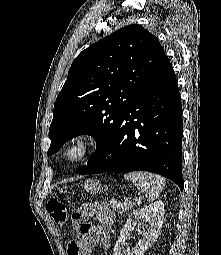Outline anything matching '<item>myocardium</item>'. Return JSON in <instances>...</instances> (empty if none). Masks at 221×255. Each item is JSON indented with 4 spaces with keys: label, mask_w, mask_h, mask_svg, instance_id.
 Returning a JSON list of instances; mask_svg holds the SVG:
<instances>
[{
    "label": "myocardium",
    "mask_w": 221,
    "mask_h": 255,
    "mask_svg": "<svg viewBox=\"0 0 221 255\" xmlns=\"http://www.w3.org/2000/svg\"><path fill=\"white\" fill-rule=\"evenodd\" d=\"M94 147V138L89 133H80L74 136L66 145L64 157L70 163L83 161Z\"/></svg>",
    "instance_id": "obj_1"
}]
</instances>
